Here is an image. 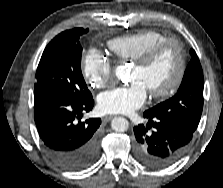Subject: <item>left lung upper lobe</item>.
I'll return each instance as SVG.
<instances>
[{"mask_svg": "<svg viewBox=\"0 0 223 188\" xmlns=\"http://www.w3.org/2000/svg\"><path fill=\"white\" fill-rule=\"evenodd\" d=\"M190 54L192 59L177 93L145 112L193 133L203 109V71L196 52L191 49Z\"/></svg>", "mask_w": 223, "mask_h": 188, "instance_id": "obj_1", "label": "left lung upper lobe"}]
</instances>
